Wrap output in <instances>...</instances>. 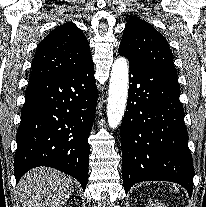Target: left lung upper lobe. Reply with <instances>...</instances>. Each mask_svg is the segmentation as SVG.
<instances>
[{"label": "left lung upper lobe", "mask_w": 206, "mask_h": 207, "mask_svg": "<svg viewBox=\"0 0 206 207\" xmlns=\"http://www.w3.org/2000/svg\"><path fill=\"white\" fill-rule=\"evenodd\" d=\"M119 53L137 62L177 74L166 39L139 17L133 16L127 22Z\"/></svg>", "instance_id": "5c2ea615"}]
</instances>
